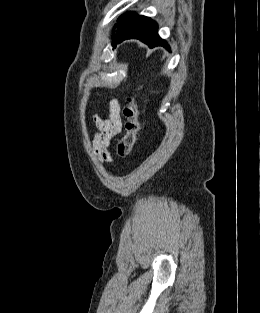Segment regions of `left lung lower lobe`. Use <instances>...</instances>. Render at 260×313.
I'll list each match as a JSON object with an SVG mask.
<instances>
[{
	"mask_svg": "<svg viewBox=\"0 0 260 313\" xmlns=\"http://www.w3.org/2000/svg\"><path fill=\"white\" fill-rule=\"evenodd\" d=\"M157 30L158 26L156 22L149 17L139 16L135 23L125 31L117 43H121L126 39L136 38L148 44L150 48L164 46L169 49L167 43L157 34Z\"/></svg>",
	"mask_w": 260,
	"mask_h": 313,
	"instance_id": "obj_1",
	"label": "left lung lower lobe"
}]
</instances>
